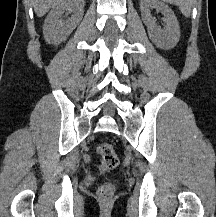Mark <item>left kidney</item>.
Returning a JSON list of instances; mask_svg holds the SVG:
<instances>
[{
    "mask_svg": "<svg viewBox=\"0 0 216 217\" xmlns=\"http://www.w3.org/2000/svg\"><path fill=\"white\" fill-rule=\"evenodd\" d=\"M160 11L166 22L163 29L158 27L151 16V9ZM140 10L142 21L147 26L148 35L151 41L161 49H172L180 38V27L177 18L167 5L158 0H141Z\"/></svg>",
    "mask_w": 216,
    "mask_h": 217,
    "instance_id": "1",
    "label": "left kidney"
}]
</instances>
